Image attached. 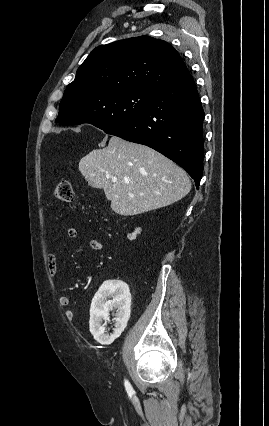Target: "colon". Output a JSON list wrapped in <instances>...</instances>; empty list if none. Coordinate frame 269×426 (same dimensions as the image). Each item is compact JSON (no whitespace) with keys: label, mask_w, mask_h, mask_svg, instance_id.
<instances>
[{"label":"colon","mask_w":269,"mask_h":426,"mask_svg":"<svg viewBox=\"0 0 269 426\" xmlns=\"http://www.w3.org/2000/svg\"><path fill=\"white\" fill-rule=\"evenodd\" d=\"M53 195L59 202H71L74 195L71 183L67 180L59 181L54 188Z\"/></svg>","instance_id":"colon-1"}]
</instances>
